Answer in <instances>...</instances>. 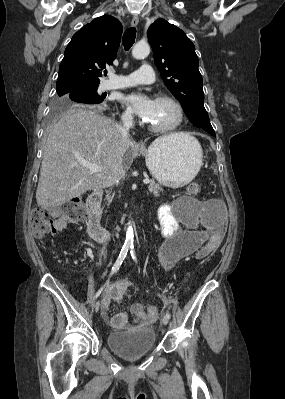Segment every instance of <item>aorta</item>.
Returning <instances> with one entry per match:
<instances>
[{
    "instance_id": "obj_1",
    "label": "aorta",
    "mask_w": 285,
    "mask_h": 399,
    "mask_svg": "<svg viewBox=\"0 0 285 399\" xmlns=\"http://www.w3.org/2000/svg\"><path fill=\"white\" fill-rule=\"evenodd\" d=\"M150 53V46L146 42H138L132 49V56L135 59H144ZM134 246V229L129 222L126 228V238L124 242L125 248H132Z\"/></svg>"
}]
</instances>
